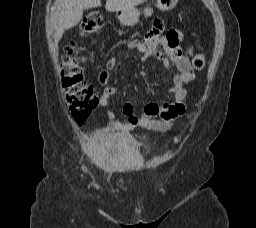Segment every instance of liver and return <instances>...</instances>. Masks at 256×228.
I'll return each instance as SVG.
<instances>
[{"label":"liver","mask_w":256,"mask_h":228,"mask_svg":"<svg viewBox=\"0 0 256 228\" xmlns=\"http://www.w3.org/2000/svg\"><path fill=\"white\" fill-rule=\"evenodd\" d=\"M147 0H107L105 8L107 11H118L134 7ZM60 11L54 40L59 42L65 30L76 26L83 16L84 9L101 6V0H59Z\"/></svg>","instance_id":"obj_1"}]
</instances>
